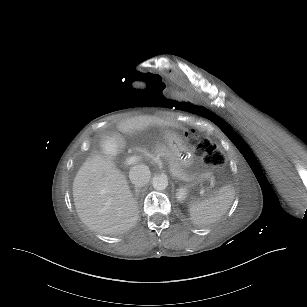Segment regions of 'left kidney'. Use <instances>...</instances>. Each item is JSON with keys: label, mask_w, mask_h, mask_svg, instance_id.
Wrapping results in <instances>:
<instances>
[{"label": "left kidney", "mask_w": 307, "mask_h": 307, "mask_svg": "<svg viewBox=\"0 0 307 307\" xmlns=\"http://www.w3.org/2000/svg\"><path fill=\"white\" fill-rule=\"evenodd\" d=\"M186 193L183 190H180L178 193V198L185 197Z\"/></svg>", "instance_id": "obj_1"}]
</instances>
